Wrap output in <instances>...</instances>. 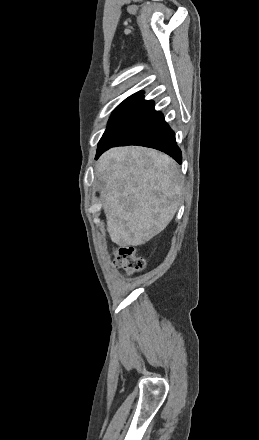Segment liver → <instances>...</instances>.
I'll return each mask as SVG.
<instances>
[{"label": "liver", "mask_w": 259, "mask_h": 440, "mask_svg": "<svg viewBox=\"0 0 259 440\" xmlns=\"http://www.w3.org/2000/svg\"><path fill=\"white\" fill-rule=\"evenodd\" d=\"M107 231L119 246L143 245L173 219L181 197L182 177L168 155L145 147H116L96 167Z\"/></svg>", "instance_id": "liver-1"}]
</instances>
